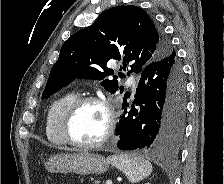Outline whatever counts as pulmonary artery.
I'll use <instances>...</instances> for the list:
<instances>
[{
	"mask_svg": "<svg viewBox=\"0 0 224 184\" xmlns=\"http://www.w3.org/2000/svg\"><path fill=\"white\" fill-rule=\"evenodd\" d=\"M128 84L131 86V88H132L133 90H136V88H137V83H136L133 79H129V80H128Z\"/></svg>",
	"mask_w": 224,
	"mask_h": 184,
	"instance_id": "1",
	"label": "pulmonary artery"
}]
</instances>
